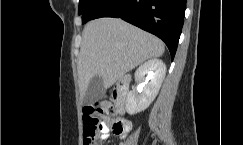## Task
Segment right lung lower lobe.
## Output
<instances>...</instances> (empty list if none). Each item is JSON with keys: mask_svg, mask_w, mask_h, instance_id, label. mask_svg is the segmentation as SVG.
Listing matches in <instances>:
<instances>
[{"mask_svg": "<svg viewBox=\"0 0 243 145\" xmlns=\"http://www.w3.org/2000/svg\"><path fill=\"white\" fill-rule=\"evenodd\" d=\"M185 9L186 0H94L83 12L82 22L100 17L121 18L161 38L173 60Z\"/></svg>", "mask_w": 243, "mask_h": 145, "instance_id": "obj_1", "label": "right lung lower lobe"}]
</instances>
